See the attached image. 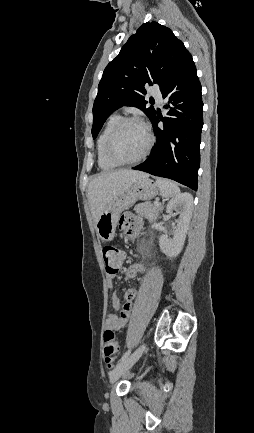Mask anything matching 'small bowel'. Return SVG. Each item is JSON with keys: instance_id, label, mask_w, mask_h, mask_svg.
Wrapping results in <instances>:
<instances>
[{"instance_id": "obj_1", "label": "small bowel", "mask_w": 254, "mask_h": 433, "mask_svg": "<svg viewBox=\"0 0 254 433\" xmlns=\"http://www.w3.org/2000/svg\"><path fill=\"white\" fill-rule=\"evenodd\" d=\"M142 223L139 219L133 218L131 215H126L120 220V227L131 237L136 236L141 230ZM123 260V255H122ZM122 264V261H121ZM120 264V266H121ZM146 268L142 264H133L125 272L127 279L133 278L140 273H144ZM109 274V286L112 287V277L115 275ZM136 298V290L130 289L124 292L123 300L114 294L111 299L112 307L119 311V314H109L105 320V326L109 329H123L131 316L133 302Z\"/></svg>"}]
</instances>
